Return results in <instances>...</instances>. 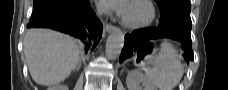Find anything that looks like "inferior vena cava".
Returning <instances> with one entry per match:
<instances>
[{
    "label": "inferior vena cava",
    "mask_w": 228,
    "mask_h": 90,
    "mask_svg": "<svg viewBox=\"0 0 228 90\" xmlns=\"http://www.w3.org/2000/svg\"><path fill=\"white\" fill-rule=\"evenodd\" d=\"M102 14V11L101 10H98V15L100 16Z\"/></svg>",
    "instance_id": "obj_1"
}]
</instances>
